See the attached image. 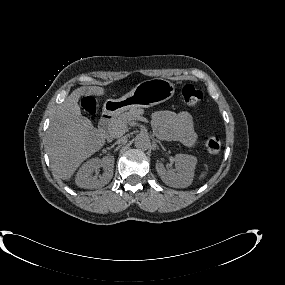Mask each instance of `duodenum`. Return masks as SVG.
I'll return each mask as SVG.
<instances>
[{
	"label": "duodenum",
	"instance_id": "obj_1",
	"mask_svg": "<svg viewBox=\"0 0 285 285\" xmlns=\"http://www.w3.org/2000/svg\"><path fill=\"white\" fill-rule=\"evenodd\" d=\"M113 115L111 112H104L101 115V118L99 120V131L103 135L104 138H109V130H110V124L112 122Z\"/></svg>",
	"mask_w": 285,
	"mask_h": 285
}]
</instances>
